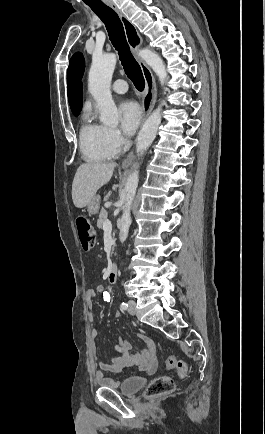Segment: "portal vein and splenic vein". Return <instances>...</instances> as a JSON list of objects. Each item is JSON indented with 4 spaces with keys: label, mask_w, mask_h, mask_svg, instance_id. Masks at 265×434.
I'll return each mask as SVG.
<instances>
[{
    "label": "portal vein and splenic vein",
    "mask_w": 265,
    "mask_h": 434,
    "mask_svg": "<svg viewBox=\"0 0 265 434\" xmlns=\"http://www.w3.org/2000/svg\"><path fill=\"white\" fill-rule=\"evenodd\" d=\"M103 230H112V224L110 220H105L103 224Z\"/></svg>",
    "instance_id": "portal-vein-and-splenic-vein-1"
}]
</instances>
